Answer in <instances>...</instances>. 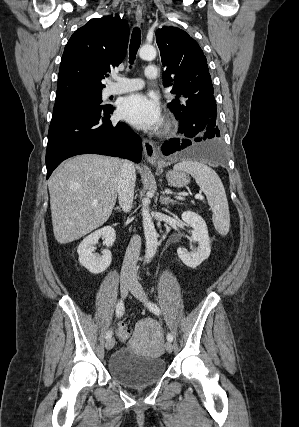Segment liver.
<instances>
[{
    "label": "liver",
    "instance_id": "6515ba94",
    "mask_svg": "<svg viewBox=\"0 0 299 427\" xmlns=\"http://www.w3.org/2000/svg\"><path fill=\"white\" fill-rule=\"evenodd\" d=\"M121 168L118 158L83 154L53 172L48 188L57 242L75 241L108 220L116 202Z\"/></svg>",
    "mask_w": 299,
    "mask_h": 427
}]
</instances>
